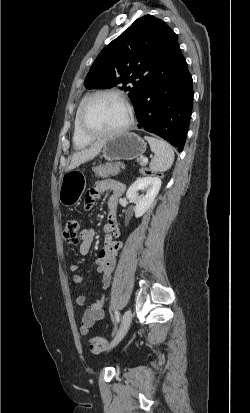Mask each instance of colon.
Instances as JSON below:
<instances>
[{
    "mask_svg": "<svg viewBox=\"0 0 250 413\" xmlns=\"http://www.w3.org/2000/svg\"><path fill=\"white\" fill-rule=\"evenodd\" d=\"M141 172L144 173L146 177H155L157 180H162L164 178V173L158 171L157 168H142ZM81 225L78 220L70 219L66 222L63 230L64 239L70 244H77L82 238L80 236ZM108 344V340L103 337H95L89 340L90 349H104Z\"/></svg>",
    "mask_w": 250,
    "mask_h": 413,
    "instance_id": "1",
    "label": "colon"
}]
</instances>
